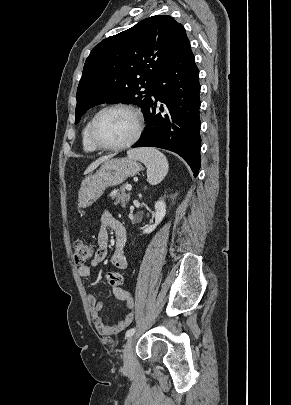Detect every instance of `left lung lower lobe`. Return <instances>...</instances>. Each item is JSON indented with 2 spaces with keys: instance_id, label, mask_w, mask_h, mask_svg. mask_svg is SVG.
Masks as SVG:
<instances>
[{
  "instance_id": "left-lung-lower-lobe-1",
  "label": "left lung lower lobe",
  "mask_w": 291,
  "mask_h": 405,
  "mask_svg": "<svg viewBox=\"0 0 291 405\" xmlns=\"http://www.w3.org/2000/svg\"><path fill=\"white\" fill-rule=\"evenodd\" d=\"M188 38L159 74L144 111L146 132L132 147H158L180 155L194 176L200 169V84ZM155 98V100H154ZM157 101L164 103L156 111Z\"/></svg>"
}]
</instances>
